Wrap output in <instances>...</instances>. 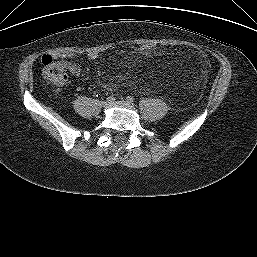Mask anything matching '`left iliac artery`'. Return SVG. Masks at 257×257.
Here are the masks:
<instances>
[{
	"mask_svg": "<svg viewBox=\"0 0 257 257\" xmlns=\"http://www.w3.org/2000/svg\"><path fill=\"white\" fill-rule=\"evenodd\" d=\"M127 101H128L129 103H133V102H134V98H133L132 96H128V97H127Z\"/></svg>",
	"mask_w": 257,
	"mask_h": 257,
	"instance_id": "44dca946",
	"label": "left iliac artery"
}]
</instances>
